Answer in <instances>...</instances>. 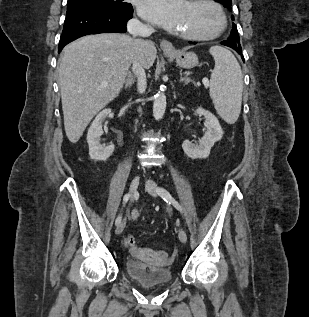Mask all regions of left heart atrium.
Instances as JSON below:
<instances>
[{
  "mask_svg": "<svg viewBox=\"0 0 309 317\" xmlns=\"http://www.w3.org/2000/svg\"><path fill=\"white\" fill-rule=\"evenodd\" d=\"M186 4L185 0H142L139 13L145 19L175 31L180 29Z\"/></svg>",
  "mask_w": 309,
  "mask_h": 317,
  "instance_id": "obj_1",
  "label": "left heart atrium"
}]
</instances>
